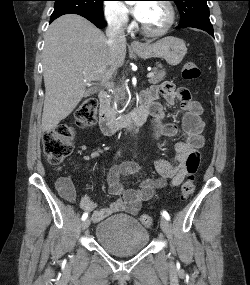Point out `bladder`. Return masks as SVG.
Returning a JSON list of instances; mask_svg holds the SVG:
<instances>
[{"label":"bladder","instance_id":"obj_1","mask_svg":"<svg viewBox=\"0 0 250 285\" xmlns=\"http://www.w3.org/2000/svg\"><path fill=\"white\" fill-rule=\"evenodd\" d=\"M95 237L106 251L122 256L144 249L149 233L135 218L115 215L98 223Z\"/></svg>","mask_w":250,"mask_h":285}]
</instances>
